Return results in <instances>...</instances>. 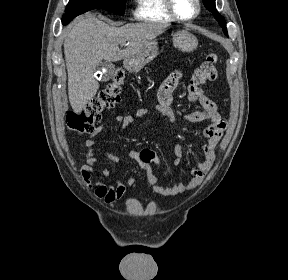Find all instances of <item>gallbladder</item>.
Returning <instances> with one entry per match:
<instances>
[{
    "label": "gallbladder",
    "mask_w": 288,
    "mask_h": 280,
    "mask_svg": "<svg viewBox=\"0 0 288 280\" xmlns=\"http://www.w3.org/2000/svg\"><path fill=\"white\" fill-rule=\"evenodd\" d=\"M103 67H106L107 68V73L104 74V76L102 77V80L103 81H107L110 79L113 71H114V65L110 62H100L97 69H101Z\"/></svg>",
    "instance_id": "1"
}]
</instances>
